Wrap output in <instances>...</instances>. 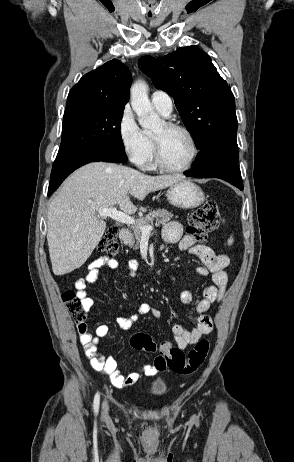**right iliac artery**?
Segmentation results:
<instances>
[{
    "instance_id": "right-iliac-artery-1",
    "label": "right iliac artery",
    "mask_w": 294,
    "mask_h": 462,
    "mask_svg": "<svg viewBox=\"0 0 294 462\" xmlns=\"http://www.w3.org/2000/svg\"><path fill=\"white\" fill-rule=\"evenodd\" d=\"M99 401H100V396H99V393H96L95 397H94V412L95 414L98 413V409H99Z\"/></svg>"
}]
</instances>
